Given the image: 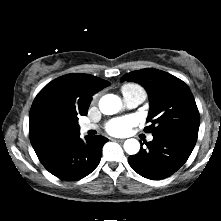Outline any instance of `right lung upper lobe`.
I'll list each match as a JSON object with an SVG mask.
<instances>
[{"mask_svg":"<svg viewBox=\"0 0 221 221\" xmlns=\"http://www.w3.org/2000/svg\"><path fill=\"white\" fill-rule=\"evenodd\" d=\"M110 82L89 74H67L48 83L29 114V137L39 160L66 139L80 134L78 116H86L92 95Z\"/></svg>","mask_w":221,"mask_h":221,"instance_id":"1","label":"right lung upper lobe"}]
</instances>
